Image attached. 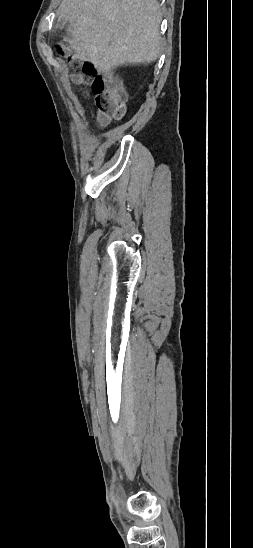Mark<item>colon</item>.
I'll list each match as a JSON object with an SVG mask.
<instances>
[{"mask_svg": "<svg viewBox=\"0 0 253 548\" xmlns=\"http://www.w3.org/2000/svg\"><path fill=\"white\" fill-rule=\"evenodd\" d=\"M71 63L79 70L73 79L77 85L89 86L96 95L97 121L107 124L123 115V105L126 92L117 77L108 73H98L95 66L89 62L72 60Z\"/></svg>", "mask_w": 253, "mask_h": 548, "instance_id": "5ec220e1", "label": "colon"}]
</instances>
